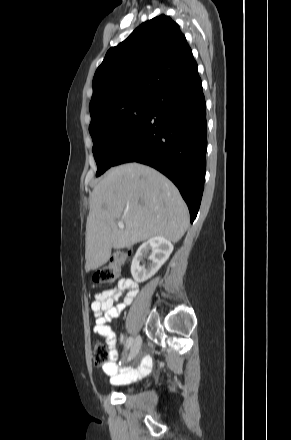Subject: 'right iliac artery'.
<instances>
[{"instance_id": "1", "label": "right iliac artery", "mask_w": 291, "mask_h": 440, "mask_svg": "<svg viewBox=\"0 0 291 440\" xmlns=\"http://www.w3.org/2000/svg\"><path fill=\"white\" fill-rule=\"evenodd\" d=\"M132 344H133V338H132V337H129V338L127 339L126 349H129V348L132 346Z\"/></svg>"}]
</instances>
